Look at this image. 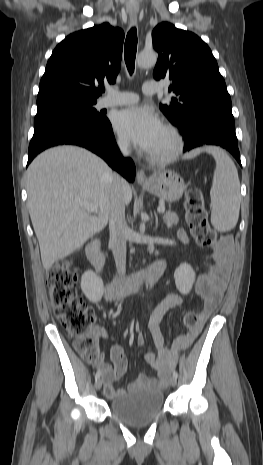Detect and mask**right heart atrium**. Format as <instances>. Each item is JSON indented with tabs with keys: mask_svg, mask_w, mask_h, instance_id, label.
Returning a JSON list of instances; mask_svg holds the SVG:
<instances>
[{
	"mask_svg": "<svg viewBox=\"0 0 263 465\" xmlns=\"http://www.w3.org/2000/svg\"><path fill=\"white\" fill-rule=\"evenodd\" d=\"M116 145H117V148L119 149V151L122 152V153H127L129 151V144H128L127 140H125L122 137L117 138Z\"/></svg>",
	"mask_w": 263,
	"mask_h": 465,
	"instance_id": "1",
	"label": "right heart atrium"
}]
</instances>
